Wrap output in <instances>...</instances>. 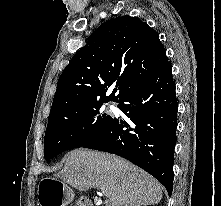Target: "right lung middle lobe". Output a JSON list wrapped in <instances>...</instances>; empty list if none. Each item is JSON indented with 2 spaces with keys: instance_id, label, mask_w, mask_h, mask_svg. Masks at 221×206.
<instances>
[{
  "instance_id": "obj_1",
  "label": "right lung middle lobe",
  "mask_w": 221,
  "mask_h": 206,
  "mask_svg": "<svg viewBox=\"0 0 221 206\" xmlns=\"http://www.w3.org/2000/svg\"><path fill=\"white\" fill-rule=\"evenodd\" d=\"M104 102L59 110L48 118L44 139L47 161L68 149L81 147L108 125L113 117L100 111Z\"/></svg>"
}]
</instances>
